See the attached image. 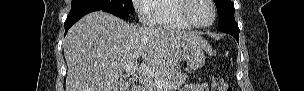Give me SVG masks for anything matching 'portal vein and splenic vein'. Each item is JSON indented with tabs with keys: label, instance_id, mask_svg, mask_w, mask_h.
I'll list each match as a JSON object with an SVG mask.
<instances>
[{
	"label": "portal vein and splenic vein",
	"instance_id": "portal-vein-and-splenic-vein-1",
	"mask_svg": "<svg viewBox=\"0 0 304 91\" xmlns=\"http://www.w3.org/2000/svg\"><path fill=\"white\" fill-rule=\"evenodd\" d=\"M137 68H138V62H133V63L123 67V69H125V71L128 73L135 72L137 70ZM152 84L154 85V88L156 89V91H167L169 89V86L167 83L155 81Z\"/></svg>",
	"mask_w": 304,
	"mask_h": 91
}]
</instances>
